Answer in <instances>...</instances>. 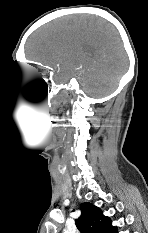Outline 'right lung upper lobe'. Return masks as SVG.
<instances>
[{
    "label": "right lung upper lobe",
    "mask_w": 148,
    "mask_h": 233,
    "mask_svg": "<svg viewBox=\"0 0 148 233\" xmlns=\"http://www.w3.org/2000/svg\"><path fill=\"white\" fill-rule=\"evenodd\" d=\"M81 216L75 224L81 233H117L109 217L104 216L100 208L85 202L81 204Z\"/></svg>",
    "instance_id": "1"
}]
</instances>
